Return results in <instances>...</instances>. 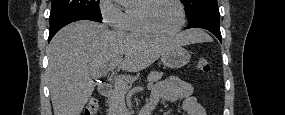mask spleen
I'll list each match as a JSON object with an SVG mask.
<instances>
[{
  "label": "spleen",
  "instance_id": "spleen-1",
  "mask_svg": "<svg viewBox=\"0 0 285 115\" xmlns=\"http://www.w3.org/2000/svg\"><path fill=\"white\" fill-rule=\"evenodd\" d=\"M206 34L204 33L202 36H201V39L202 40H207V36H205Z\"/></svg>",
  "mask_w": 285,
  "mask_h": 115
}]
</instances>
